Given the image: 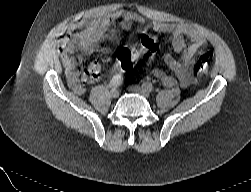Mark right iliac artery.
I'll list each match as a JSON object with an SVG mask.
<instances>
[{
	"label": "right iliac artery",
	"instance_id": "1",
	"mask_svg": "<svg viewBox=\"0 0 251 192\" xmlns=\"http://www.w3.org/2000/svg\"><path fill=\"white\" fill-rule=\"evenodd\" d=\"M122 83H123V77L117 74L113 76V78L111 79L109 83V87L114 89V88L119 87Z\"/></svg>",
	"mask_w": 251,
	"mask_h": 192
}]
</instances>
